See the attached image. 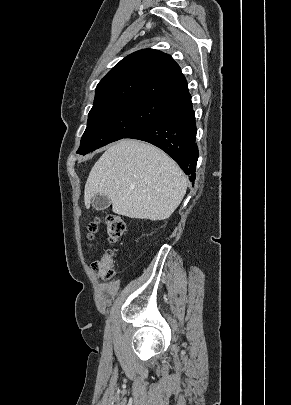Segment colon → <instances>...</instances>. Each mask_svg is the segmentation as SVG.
Segmentation results:
<instances>
[{"mask_svg": "<svg viewBox=\"0 0 291 405\" xmlns=\"http://www.w3.org/2000/svg\"><path fill=\"white\" fill-rule=\"evenodd\" d=\"M101 222L105 223L108 239L111 242L118 241L125 233L126 224L124 219L117 214H107L103 218H96L88 224L87 231L90 240L93 239ZM92 268L95 274L101 279H112L115 275L113 253L107 251L99 260L92 264Z\"/></svg>", "mask_w": 291, "mask_h": 405, "instance_id": "1", "label": "colon"}]
</instances>
